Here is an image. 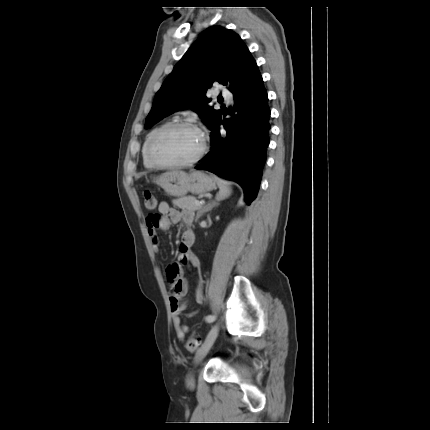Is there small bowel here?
Listing matches in <instances>:
<instances>
[{"label":"small bowel","mask_w":430,"mask_h":430,"mask_svg":"<svg viewBox=\"0 0 430 430\" xmlns=\"http://www.w3.org/2000/svg\"><path fill=\"white\" fill-rule=\"evenodd\" d=\"M160 215H151L146 220L147 231L151 239L152 249L155 253L159 251V244L156 230H166L171 224L183 222L187 227L184 229L181 237L179 248V262L170 263L166 270V276L170 284V306L172 311V322L176 331L178 340L182 341L185 335L190 331V328L182 324L181 314L187 308L185 300L188 284L183 277L182 265H188L193 269L199 270L200 261L198 257L191 251V247L195 241V234L188 226L192 223L194 214L188 210H178L172 208L167 202H161L158 206ZM203 283L199 278V284L195 292V301L197 304H202ZM195 315V311L187 314L188 317Z\"/></svg>","instance_id":"c3829d8e"}]
</instances>
